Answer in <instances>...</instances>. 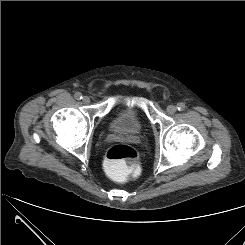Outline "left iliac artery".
Here are the masks:
<instances>
[{
    "label": "left iliac artery",
    "instance_id": "left-iliac-artery-1",
    "mask_svg": "<svg viewBox=\"0 0 245 245\" xmlns=\"http://www.w3.org/2000/svg\"><path fill=\"white\" fill-rule=\"evenodd\" d=\"M185 104L184 103H178L177 104V109L179 110V111H183V110H185Z\"/></svg>",
    "mask_w": 245,
    "mask_h": 245
}]
</instances>
